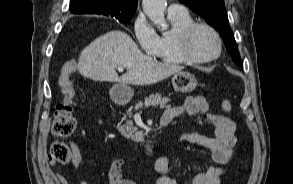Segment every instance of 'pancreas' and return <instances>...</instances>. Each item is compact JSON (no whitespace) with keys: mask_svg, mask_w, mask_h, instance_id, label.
I'll return each mask as SVG.
<instances>
[{"mask_svg":"<svg viewBox=\"0 0 293 184\" xmlns=\"http://www.w3.org/2000/svg\"><path fill=\"white\" fill-rule=\"evenodd\" d=\"M169 98L167 97H162L160 94L156 93L149 95L148 97L145 98L144 103L143 102H138L135 104V106H131L127 111L126 114L129 117H132V111L133 110H138L142 108L143 106L149 107V106H154L157 107L159 106L161 109L164 107H168L167 103L169 102ZM118 130L126 138H131V140L135 142H141L143 141V135L141 132L138 131V128L133 126V122L131 120H127L125 125H118Z\"/></svg>","mask_w":293,"mask_h":184,"instance_id":"obj_1","label":"pancreas"}]
</instances>
